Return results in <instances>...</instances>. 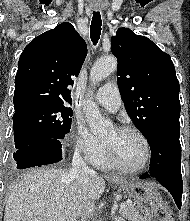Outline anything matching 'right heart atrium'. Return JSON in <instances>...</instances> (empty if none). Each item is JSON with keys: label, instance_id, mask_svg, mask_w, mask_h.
<instances>
[{"label": "right heart atrium", "instance_id": "obj_1", "mask_svg": "<svg viewBox=\"0 0 190 221\" xmlns=\"http://www.w3.org/2000/svg\"><path fill=\"white\" fill-rule=\"evenodd\" d=\"M71 139L74 150L88 161H92L103 148L102 142L79 120L72 127Z\"/></svg>", "mask_w": 190, "mask_h": 221}]
</instances>
